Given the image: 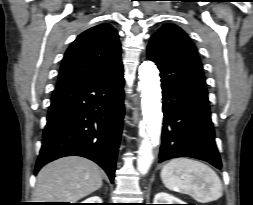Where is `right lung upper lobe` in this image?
I'll return each instance as SVG.
<instances>
[{"instance_id": "right-lung-upper-lobe-1", "label": "right lung upper lobe", "mask_w": 253, "mask_h": 205, "mask_svg": "<svg viewBox=\"0 0 253 205\" xmlns=\"http://www.w3.org/2000/svg\"><path fill=\"white\" fill-rule=\"evenodd\" d=\"M122 66L117 31L103 23L83 32L67 49L57 88L100 78Z\"/></svg>"}]
</instances>
